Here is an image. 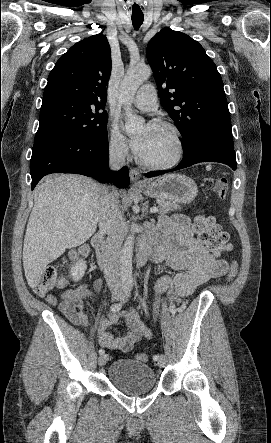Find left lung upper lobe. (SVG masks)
Masks as SVG:
<instances>
[{"instance_id":"left-lung-upper-lobe-1","label":"left lung upper lobe","mask_w":271,"mask_h":443,"mask_svg":"<svg viewBox=\"0 0 271 443\" xmlns=\"http://www.w3.org/2000/svg\"><path fill=\"white\" fill-rule=\"evenodd\" d=\"M146 53L161 105L180 131L183 148L203 130L231 129L221 76L197 41L164 28L149 41Z\"/></svg>"}]
</instances>
